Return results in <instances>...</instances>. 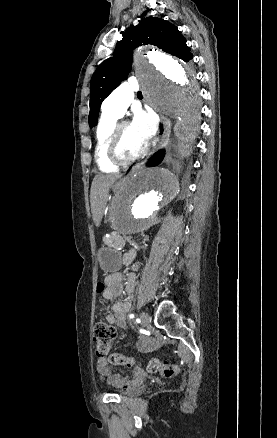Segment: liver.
<instances>
[{"label": "liver", "instance_id": "1", "mask_svg": "<svg viewBox=\"0 0 277 438\" xmlns=\"http://www.w3.org/2000/svg\"><path fill=\"white\" fill-rule=\"evenodd\" d=\"M117 178H120V176H102V174H99V176H95L92 182L90 204L94 224L97 228H99L102 222L104 210L108 202L109 188L113 186Z\"/></svg>", "mask_w": 277, "mask_h": 438}]
</instances>
